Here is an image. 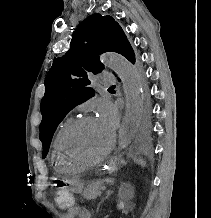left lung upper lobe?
Here are the masks:
<instances>
[{"label": "left lung upper lobe", "instance_id": "5c2ea615", "mask_svg": "<svg viewBox=\"0 0 211 218\" xmlns=\"http://www.w3.org/2000/svg\"><path fill=\"white\" fill-rule=\"evenodd\" d=\"M116 52L135 63L134 51L121 26L111 16L92 14L73 34L70 49L56 58L45 78V95L41 101L39 138L46 157L53 134L65 115L76 105L95 95L90 87L93 74L104 69L99 55ZM148 109H145L147 113Z\"/></svg>", "mask_w": 211, "mask_h": 218}]
</instances>
